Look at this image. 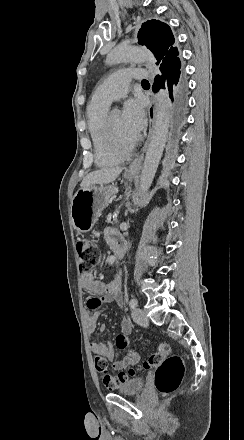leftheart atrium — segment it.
Segmentation results:
<instances>
[{
	"label": "left heart atrium",
	"mask_w": 244,
	"mask_h": 440,
	"mask_svg": "<svg viewBox=\"0 0 244 440\" xmlns=\"http://www.w3.org/2000/svg\"><path fill=\"white\" fill-rule=\"evenodd\" d=\"M122 115L124 126L131 135L142 130L146 124L144 103L139 98L129 99L124 105Z\"/></svg>",
	"instance_id": "39dd6f15"
}]
</instances>
